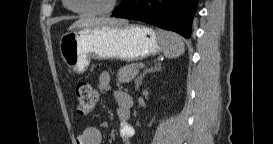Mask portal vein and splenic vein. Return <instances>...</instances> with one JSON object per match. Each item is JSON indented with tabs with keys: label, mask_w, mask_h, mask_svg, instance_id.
Returning a JSON list of instances; mask_svg holds the SVG:
<instances>
[{
	"label": "portal vein and splenic vein",
	"mask_w": 273,
	"mask_h": 144,
	"mask_svg": "<svg viewBox=\"0 0 273 144\" xmlns=\"http://www.w3.org/2000/svg\"><path fill=\"white\" fill-rule=\"evenodd\" d=\"M144 66H145V65H144L143 63H140L138 67H139L140 69H142V68H144Z\"/></svg>",
	"instance_id": "18ae733b"
}]
</instances>
